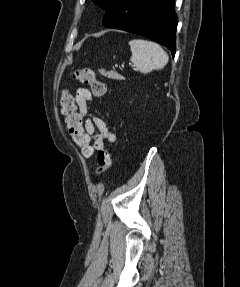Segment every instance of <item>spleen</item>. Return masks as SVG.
Returning <instances> with one entry per match:
<instances>
[{
  "instance_id": "1",
  "label": "spleen",
  "mask_w": 240,
  "mask_h": 287,
  "mask_svg": "<svg viewBox=\"0 0 240 287\" xmlns=\"http://www.w3.org/2000/svg\"><path fill=\"white\" fill-rule=\"evenodd\" d=\"M129 45L132 53L130 60L143 74L161 70L168 63L169 57L166 51L155 42L133 39L129 41Z\"/></svg>"
}]
</instances>
